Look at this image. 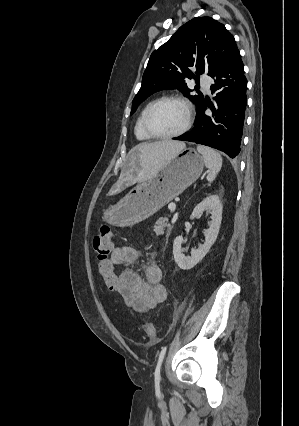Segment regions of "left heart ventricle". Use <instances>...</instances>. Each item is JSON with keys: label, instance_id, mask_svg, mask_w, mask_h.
Listing matches in <instances>:
<instances>
[{"label": "left heart ventricle", "instance_id": "left-heart-ventricle-1", "mask_svg": "<svg viewBox=\"0 0 299 426\" xmlns=\"http://www.w3.org/2000/svg\"><path fill=\"white\" fill-rule=\"evenodd\" d=\"M186 121V109L177 102L159 105L151 115L150 126L158 134H170L180 130Z\"/></svg>", "mask_w": 299, "mask_h": 426}]
</instances>
